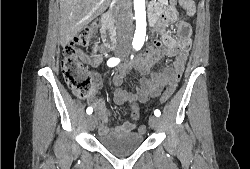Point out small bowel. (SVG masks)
<instances>
[{
    "instance_id": "1",
    "label": "small bowel",
    "mask_w": 250,
    "mask_h": 169,
    "mask_svg": "<svg viewBox=\"0 0 250 169\" xmlns=\"http://www.w3.org/2000/svg\"><path fill=\"white\" fill-rule=\"evenodd\" d=\"M187 11V10H186ZM193 11H187V15H192ZM173 11L168 9L158 13H152L151 18L154 20L171 18ZM165 21H161L163 25ZM190 29L187 34L182 35L176 42H172L167 46H163L159 39H155L149 50L136 57V59L128 64H125L112 77V83L116 87L114 92V102L120 106H129L131 121L120 126L109 128L107 126L111 112L106 108L105 100L101 97L92 96L89 99L90 105L95 111V115L99 120V132L101 135L107 134L109 131L114 133H130L135 128V123L138 120V115H133V103H146L150 98H156L160 95L164 88V83H177L182 77L185 64L188 57L190 47L189 39ZM85 62L93 66H98L104 60V53L96 55H85L81 53ZM172 57L173 62L170 65H161V60L165 57ZM157 67V69H156ZM132 70L138 71L143 77L136 87V95L123 89L121 86L125 77ZM94 88L99 89L102 86V78L97 72L90 73ZM139 107V106H138ZM140 109V107H139Z\"/></svg>"
}]
</instances>
